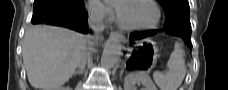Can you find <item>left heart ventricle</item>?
I'll return each mask as SVG.
<instances>
[{"label": "left heart ventricle", "mask_w": 228, "mask_h": 90, "mask_svg": "<svg viewBox=\"0 0 228 90\" xmlns=\"http://www.w3.org/2000/svg\"><path fill=\"white\" fill-rule=\"evenodd\" d=\"M121 12L125 21L134 26H149L155 22L156 11L145 0H137L121 6Z\"/></svg>", "instance_id": "b2bd125f"}]
</instances>
